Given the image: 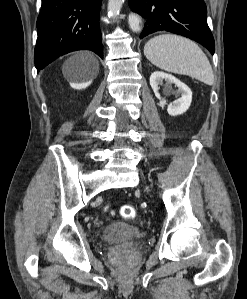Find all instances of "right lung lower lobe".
<instances>
[{
  "label": "right lung lower lobe",
  "instance_id": "98d812e1",
  "mask_svg": "<svg viewBox=\"0 0 247 299\" xmlns=\"http://www.w3.org/2000/svg\"><path fill=\"white\" fill-rule=\"evenodd\" d=\"M101 3L102 0H42L34 55L38 71L76 50H92L103 58Z\"/></svg>",
  "mask_w": 247,
  "mask_h": 299
}]
</instances>
